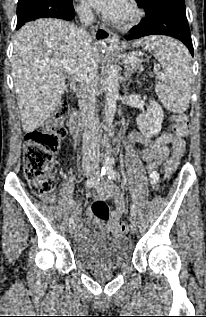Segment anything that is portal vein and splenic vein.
<instances>
[{
	"instance_id": "18ae733b",
	"label": "portal vein and splenic vein",
	"mask_w": 206,
	"mask_h": 317,
	"mask_svg": "<svg viewBox=\"0 0 206 317\" xmlns=\"http://www.w3.org/2000/svg\"><path fill=\"white\" fill-rule=\"evenodd\" d=\"M47 62H49L51 65H53L54 67H57L61 70H68L70 73H72L74 75V77L79 80L81 73L79 68L72 62L68 61V60H64V59H57V58H53V59H48ZM140 60L137 57H130L126 60H124V63L126 64H133V63H139ZM156 76L158 78H163V75L156 73Z\"/></svg>"
}]
</instances>
